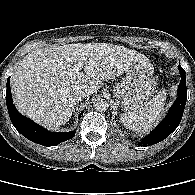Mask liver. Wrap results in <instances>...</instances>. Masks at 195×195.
Segmentation results:
<instances>
[{"mask_svg":"<svg viewBox=\"0 0 195 195\" xmlns=\"http://www.w3.org/2000/svg\"><path fill=\"white\" fill-rule=\"evenodd\" d=\"M143 54L108 43L52 46L28 53L11 77L12 96L18 111L50 130L71 118L73 92L84 87L91 94L103 81L120 76ZM79 63L83 70H78Z\"/></svg>","mask_w":195,"mask_h":195,"instance_id":"1","label":"liver"}]
</instances>
